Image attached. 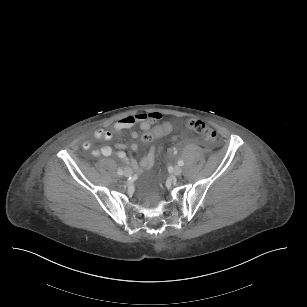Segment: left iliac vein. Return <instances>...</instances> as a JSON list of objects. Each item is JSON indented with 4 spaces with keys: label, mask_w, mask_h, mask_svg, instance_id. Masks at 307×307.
<instances>
[{
    "label": "left iliac vein",
    "mask_w": 307,
    "mask_h": 307,
    "mask_svg": "<svg viewBox=\"0 0 307 307\" xmlns=\"http://www.w3.org/2000/svg\"><path fill=\"white\" fill-rule=\"evenodd\" d=\"M173 174L177 177L180 176L182 174V168L180 166L174 167Z\"/></svg>",
    "instance_id": "1"
}]
</instances>
